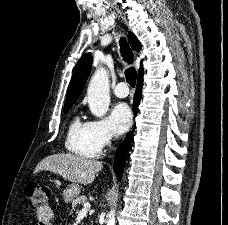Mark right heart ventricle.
I'll return each mask as SVG.
<instances>
[{
  "instance_id": "1",
  "label": "right heart ventricle",
  "mask_w": 228,
  "mask_h": 225,
  "mask_svg": "<svg viewBox=\"0 0 228 225\" xmlns=\"http://www.w3.org/2000/svg\"><path fill=\"white\" fill-rule=\"evenodd\" d=\"M65 148L67 151L82 157H98L101 147L95 141L89 123H83L75 115L68 124Z\"/></svg>"
}]
</instances>
